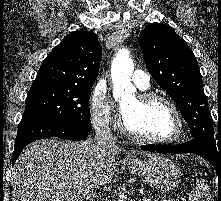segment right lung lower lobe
Instances as JSON below:
<instances>
[{
    "mask_svg": "<svg viewBox=\"0 0 221 201\" xmlns=\"http://www.w3.org/2000/svg\"><path fill=\"white\" fill-rule=\"evenodd\" d=\"M91 130L92 127H83L77 123L65 120L38 118L21 121L15 139L12 157L13 164L25 146L35 140L59 137L62 139L80 141L85 140L88 136V131Z\"/></svg>",
    "mask_w": 221,
    "mask_h": 201,
    "instance_id": "1",
    "label": "right lung lower lobe"
}]
</instances>
